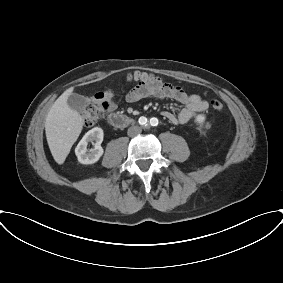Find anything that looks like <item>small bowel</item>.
Segmentation results:
<instances>
[{
	"label": "small bowel",
	"mask_w": 283,
	"mask_h": 283,
	"mask_svg": "<svg viewBox=\"0 0 283 283\" xmlns=\"http://www.w3.org/2000/svg\"><path fill=\"white\" fill-rule=\"evenodd\" d=\"M149 96L161 99L170 98L183 105V108L176 114L170 111L162 112V116L172 124L188 123L195 114L203 112L208 108V102L202 99L199 95L189 94L181 87L163 83L157 88L138 83L126 93L125 101L128 103H135ZM98 97H101V99L107 103V112L116 110L117 104L113 99L114 94L112 91L107 90L98 93L94 100L97 101Z\"/></svg>",
	"instance_id": "1"
}]
</instances>
